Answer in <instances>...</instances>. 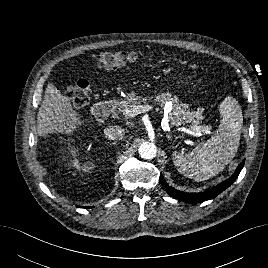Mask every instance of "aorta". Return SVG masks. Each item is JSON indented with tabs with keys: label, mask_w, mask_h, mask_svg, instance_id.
Wrapping results in <instances>:
<instances>
[{
	"label": "aorta",
	"mask_w": 268,
	"mask_h": 268,
	"mask_svg": "<svg viewBox=\"0 0 268 268\" xmlns=\"http://www.w3.org/2000/svg\"><path fill=\"white\" fill-rule=\"evenodd\" d=\"M139 155L147 160L153 159L156 156L157 149L153 142L145 141L138 148Z\"/></svg>",
	"instance_id": "aorta-1"
}]
</instances>
